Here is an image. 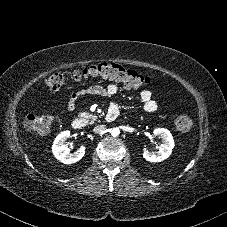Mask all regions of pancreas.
<instances>
[{
  "label": "pancreas",
  "instance_id": "1",
  "mask_svg": "<svg viewBox=\"0 0 227 227\" xmlns=\"http://www.w3.org/2000/svg\"><path fill=\"white\" fill-rule=\"evenodd\" d=\"M78 117L83 119L86 123H89V124H93L94 121L97 119V116L87 112H80Z\"/></svg>",
  "mask_w": 227,
  "mask_h": 227
}]
</instances>
